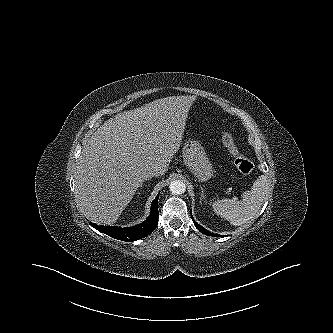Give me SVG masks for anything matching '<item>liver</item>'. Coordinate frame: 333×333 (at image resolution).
Masks as SVG:
<instances>
[{
  "label": "liver",
  "instance_id": "6515ba94",
  "mask_svg": "<svg viewBox=\"0 0 333 333\" xmlns=\"http://www.w3.org/2000/svg\"><path fill=\"white\" fill-rule=\"evenodd\" d=\"M195 100L161 98L117 114L92 134L75 177L76 202L87 219L115 223L151 169L167 172Z\"/></svg>",
  "mask_w": 333,
  "mask_h": 333
}]
</instances>
